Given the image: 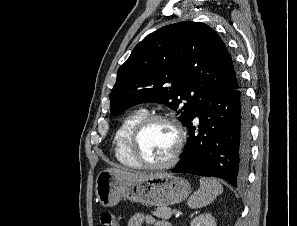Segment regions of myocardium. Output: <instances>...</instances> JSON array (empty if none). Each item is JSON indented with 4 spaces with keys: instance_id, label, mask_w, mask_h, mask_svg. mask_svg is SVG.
Segmentation results:
<instances>
[{
    "instance_id": "obj_1",
    "label": "myocardium",
    "mask_w": 297,
    "mask_h": 226,
    "mask_svg": "<svg viewBox=\"0 0 297 226\" xmlns=\"http://www.w3.org/2000/svg\"><path fill=\"white\" fill-rule=\"evenodd\" d=\"M157 121L170 124L174 128V131L177 135V141L171 157L165 162L154 164V163L147 162L140 154L139 140L144 129L149 124ZM185 142H186L185 131L182 125L178 122L176 118L168 114L154 113V114L145 115L134 125L129 136L128 148L131 156L141 168L149 169V170H162V169H168L174 166L179 161Z\"/></svg>"
}]
</instances>
